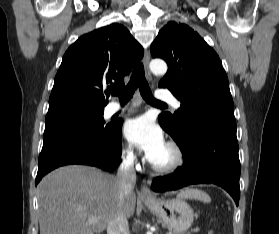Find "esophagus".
<instances>
[{
    "instance_id": "obj_1",
    "label": "esophagus",
    "mask_w": 279,
    "mask_h": 234,
    "mask_svg": "<svg viewBox=\"0 0 279 234\" xmlns=\"http://www.w3.org/2000/svg\"><path fill=\"white\" fill-rule=\"evenodd\" d=\"M149 61H150V54H149L148 50H145L144 58H143V63H144V67H145V74H146V77H147L148 81L151 82L152 81V76H151V72H150V69H149ZM140 196L143 199H148V200H151V199L154 198V195L152 194L150 189L145 185H143L141 187Z\"/></svg>"
}]
</instances>
